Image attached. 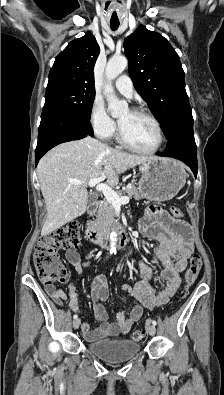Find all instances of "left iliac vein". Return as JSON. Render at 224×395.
Wrapping results in <instances>:
<instances>
[{
    "label": "left iliac vein",
    "mask_w": 224,
    "mask_h": 395,
    "mask_svg": "<svg viewBox=\"0 0 224 395\" xmlns=\"http://www.w3.org/2000/svg\"><path fill=\"white\" fill-rule=\"evenodd\" d=\"M147 331L151 336H154L156 333V327L154 325H149L147 327Z\"/></svg>",
    "instance_id": "left-iliac-vein-1"
}]
</instances>
